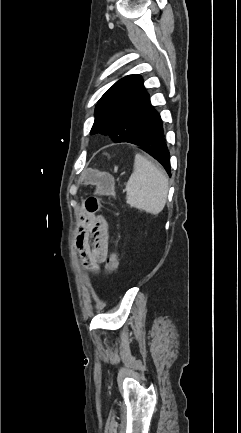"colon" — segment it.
<instances>
[{
	"label": "colon",
	"mask_w": 241,
	"mask_h": 433,
	"mask_svg": "<svg viewBox=\"0 0 241 433\" xmlns=\"http://www.w3.org/2000/svg\"><path fill=\"white\" fill-rule=\"evenodd\" d=\"M85 175L83 178L84 183L91 184L94 182L96 185V191L93 196L89 198L88 208L91 212H97L105 197L111 195L113 190V179L112 176L102 170L93 171L91 169L85 170ZM119 265V259L117 252H112L105 264V269L108 274H113L116 272Z\"/></svg>",
	"instance_id": "obj_1"
}]
</instances>
